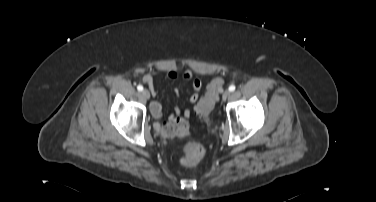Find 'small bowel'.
Masks as SVG:
<instances>
[{"instance_id":"1","label":"small bowel","mask_w":376,"mask_h":202,"mask_svg":"<svg viewBox=\"0 0 376 202\" xmlns=\"http://www.w3.org/2000/svg\"><path fill=\"white\" fill-rule=\"evenodd\" d=\"M153 74H155V72L144 75L143 78H142V82L149 87L151 94L153 96H156L158 94V90H157V88L154 84V80H153V76H152ZM161 74L164 78L171 80V81H175V80L178 79L177 72L172 70V69L164 70V71L161 72ZM183 78L186 81H190L191 84H192V93L189 97V102L191 104H195L199 99V91L202 88L203 82L199 78L193 79L192 73L190 71L185 72L183 74ZM175 94L177 96L179 95L178 90H175ZM150 110H151L152 115L156 119H159L162 116V106H161L160 102L153 101L151 103ZM190 115H191V111L189 109H184L183 111H181L179 108H176L175 112L169 116V121H170V123L185 122V119L189 118ZM154 127H155V129L158 130V129H160L161 125H160V123L157 122V123H155Z\"/></svg>"}]
</instances>
